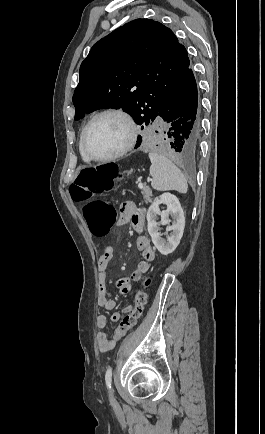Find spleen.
<instances>
[{"mask_svg":"<svg viewBox=\"0 0 265 434\" xmlns=\"http://www.w3.org/2000/svg\"><path fill=\"white\" fill-rule=\"evenodd\" d=\"M149 158L151 162L150 176L153 178L151 186L154 190H159V192L177 190L181 194H186L187 182L184 174L175 164H172L165 156L155 154V152H150Z\"/></svg>","mask_w":265,"mask_h":434,"instance_id":"spleen-1","label":"spleen"}]
</instances>
